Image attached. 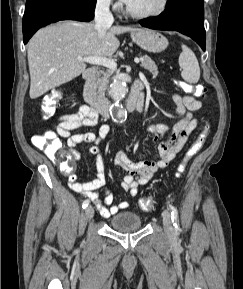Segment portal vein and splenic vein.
<instances>
[{
    "label": "portal vein and splenic vein",
    "mask_w": 243,
    "mask_h": 289,
    "mask_svg": "<svg viewBox=\"0 0 243 289\" xmlns=\"http://www.w3.org/2000/svg\"><path fill=\"white\" fill-rule=\"evenodd\" d=\"M77 60L81 62H87L93 65H102L112 70H115L117 68V63L113 59H109L106 57H100V56L81 57L79 56ZM134 61L135 63H139L140 59L135 58Z\"/></svg>",
    "instance_id": "portal-vein-and-splenic-vein-1"
}]
</instances>
